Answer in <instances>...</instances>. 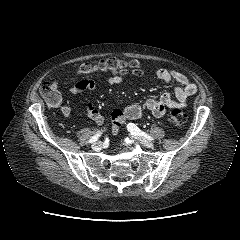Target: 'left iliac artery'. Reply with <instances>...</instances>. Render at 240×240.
Listing matches in <instances>:
<instances>
[{
  "instance_id": "1",
  "label": "left iliac artery",
  "mask_w": 240,
  "mask_h": 240,
  "mask_svg": "<svg viewBox=\"0 0 240 240\" xmlns=\"http://www.w3.org/2000/svg\"><path fill=\"white\" fill-rule=\"evenodd\" d=\"M127 129L128 131L132 134V135H135V136H143L149 140H153V138L148 135L147 133L141 131L134 123H129L127 125Z\"/></svg>"
}]
</instances>
